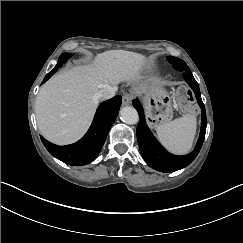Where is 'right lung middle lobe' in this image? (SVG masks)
Returning a JSON list of instances; mask_svg holds the SVG:
<instances>
[{"instance_id": "obj_1", "label": "right lung middle lobe", "mask_w": 243, "mask_h": 243, "mask_svg": "<svg viewBox=\"0 0 243 243\" xmlns=\"http://www.w3.org/2000/svg\"><path fill=\"white\" fill-rule=\"evenodd\" d=\"M72 56L71 53H63L61 54V56L58 59V63L56 64V66L54 67V69H52L44 78L43 82L47 81L57 70L58 68H60L62 66L63 63H65L67 61L68 58H70Z\"/></svg>"}]
</instances>
